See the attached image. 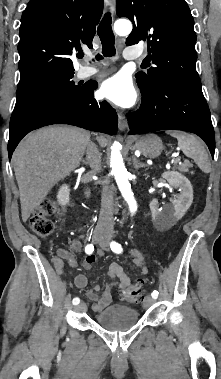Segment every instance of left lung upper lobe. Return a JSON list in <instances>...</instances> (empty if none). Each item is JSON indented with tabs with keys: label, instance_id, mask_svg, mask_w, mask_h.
<instances>
[{
	"label": "left lung upper lobe",
	"instance_id": "obj_1",
	"mask_svg": "<svg viewBox=\"0 0 221 379\" xmlns=\"http://www.w3.org/2000/svg\"><path fill=\"white\" fill-rule=\"evenodd\" d=\"M117 15L133 23L126 44L145 41L148 59L157 66L136 74L140 87L148 88L155 79L201 87L194 20L185 0H117Z\"/></svg>",
	"mask_w": 221,
	"mask_h": 379
}]
</instances>
